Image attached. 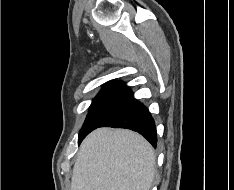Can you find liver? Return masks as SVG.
<instances>
[{
	"instance_id": "obj_1",
	"label": "liver",
	"mask_w": 234,
	"mask_h": 190,
	"mask_svg": "<svg viewBox=\"0 0 234 190\" xmlns=\"http://www.w3.org/2000/svg\"><path fill=\"white\" fill-rule=\"evenodd\" d=\"M154 172L146 139L126 129L99 128L80 146L71 190H150Z\"/></svg>"
}]
</instances>
